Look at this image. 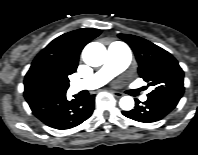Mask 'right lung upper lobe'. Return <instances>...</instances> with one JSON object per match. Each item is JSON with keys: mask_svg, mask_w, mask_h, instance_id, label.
<instances>
[{"mask_svg": "<svg viewBox=\"0 0 198 155\" xmlns=\"http://www.w3.org/2000/svg\"><path fill=\"white\" fill-rule=\"evenodd\" d=\"M101 30L83 28L63 34L48 44L34 59L24 79L27 102L69 87L68 75L78 66L81 50Z\"/></svg>", "mask_w": 198, "mask_h": 155, "instance_id": "1", "label": "right lung upper lobe"}]
</instances>
